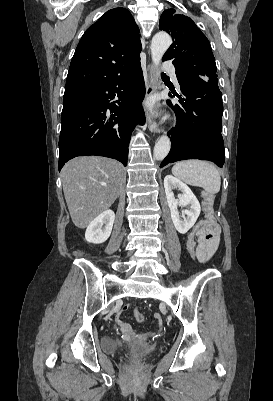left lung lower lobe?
<instances>
[{
	"mask_svg": "<svg viewBox=\"0 0 273 401\" xmlns=\"http://www.w3.org/2000/svg\"><path fill=\"white\" fill-rule=\"evenodd\" d=\"M176 76L182 94H177L178 104L170 100L167 103L175 110L177 125L171 134V151L160 167L185 159L209 160L223 167V103L218 82L213 78Z\"/></svg>",
	"mask_w": 273,
	"mask_h": 401,
	"instance_id": "0a47b994",
	"label": "left lung lower lobe"
}]
</instances>
